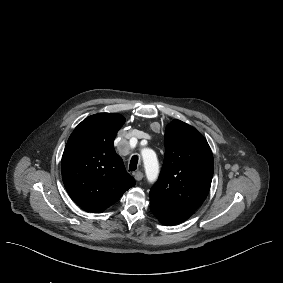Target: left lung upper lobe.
<instances>
[{
  "label": "left lung upper lobe",
  "instance_id": "left-lung-upper-lobe-1",
  "mask_svg": "<svg viewBox=\"0 0 283 283\" xmlns=\"http://www.w3.org/2000/svg\"><path fill=\"white\" fill-rule=\"evenodd\" d=\"M213 177V155L192 126L175 120L166 127L165 157L150 199L195 211L207 197Z\"/></svg>",
  "mask_w": 283,
  "mask_h": 283
}]
</instances>
